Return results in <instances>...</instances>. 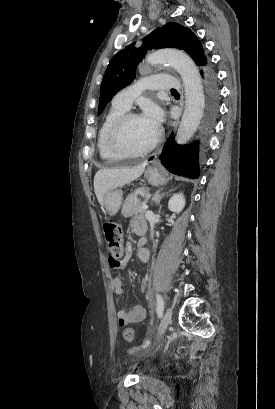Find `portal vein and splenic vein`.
Wrapping results in <instances>:
<instances>
[{
  "mask_svg": "<svg viewBox=\"0 0 275 409\" xmlns=\"http://www.w3.org/2000/svg\"><path fill=\"white\" fill-rule=\"evenodd\" d=\"M141 209H148V205H146V202H143V205H141Z\"/></svg>",
  "mask_w": 275,
  "mask_h": 409,
  "instance_id": "1",
  "label": "portal vein and splenic vein"
}]
</instances>
